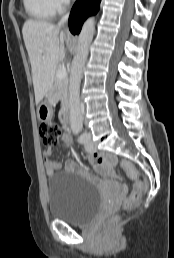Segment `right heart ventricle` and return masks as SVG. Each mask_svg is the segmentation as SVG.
Segmentation results:
<instances>
[{
	"label": "right heart ventricle",
	"instance_id": "1",
	"mask_svg": "<svg viewBox=\"0 0 174 258\" xmlns=\"http://www.w3.org/2000/svg\"><path fill=\"white\" fill-rule=\"evenodd\" d=\"M26 13L37 20H48L55 14L50 0H23Z\"/></svg>",
	"mask_w": 174,
	"mask_h": 258
}]
</instances>
